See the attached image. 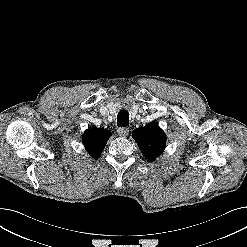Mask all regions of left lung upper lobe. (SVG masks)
I'll use <instances>...</instances> for the list:
<instances>
[{
    "label": "left lung upper lobe",
    "mask_w": 247,
    "mask_h": 247,
    "mask_svg": "<svg viewBox=\"0 0 247 247\" xmlns=\"http://www.w3.org/2000/svg\"><path fill=\"white\" fill-rule=\"evenodd\" d=\"M132 136L144 157L150 161L162 154L166 145V135L156 123L135 129Z\"/></svg>",
    "instance_id": "left-lung-upper-lobe-1"
}]
</instances>
